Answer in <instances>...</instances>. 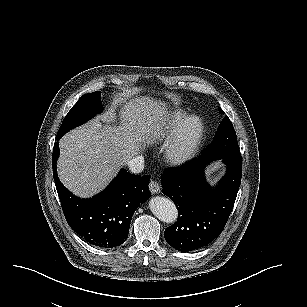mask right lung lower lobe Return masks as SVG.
Masks as SVG:
<instances>
[{"mask_svg":"<svg viewBox=\"0 0 307 307\" xmlns=\"http://www.w3.org/2000/svg\"><path fill=\"white\" fill-rule=\"evenodd\" d=\"M59 139L53 148V175L69 226L90 245L100 248L120 246L128 237L135 210L151 195L148 188L150 176L141 177L122 169L98 195L89 199L78 198L65 188L57 175Z\"/></svg>","mask_w":307,"mask_h":307,"instance_id":"98d812e1","label":"right lung lower lobe"}]
</instances>
